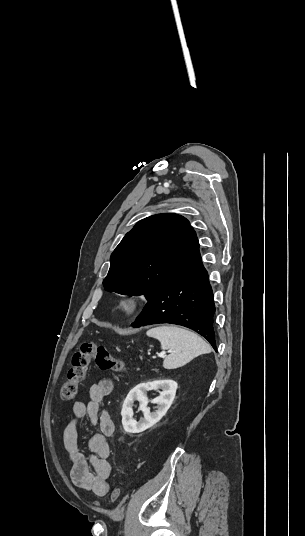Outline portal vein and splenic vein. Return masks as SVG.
Here are the masks:
<instances>
[{"label":"portal vein and splenic vein","instance_id":"18ae733b","mask_svg":"<svg viewBox=\"0 0 305 536\" xmlns=\"http://www.w3.org/2000/svg\"><path fill=\"white\" fill-rule=\"evenodd\" d=\"M168 352H172V350H168ZM165 354L166 352H161V354H157V356H159V358H165Z\"/></svg>","mask_w":305,"mask_h":536}]
</instances>
